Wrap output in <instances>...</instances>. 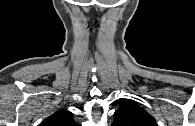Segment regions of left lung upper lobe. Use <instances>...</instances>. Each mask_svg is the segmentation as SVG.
Listing matches in <instances>:
<instances>
[{
	"instance_id": "1",
	"label": "left lung upper lobe",
	"mask_w": 195,
	"mask_h": 126,
	"mask_svg": "<svg viewBox=\"0 0 195 126\" xmlns=\"http://www.w3.org/2000/svg\"><path fill=\"white\" fill-rule=\"evenodd\" d=\"M112 126H157V123L142 107L131 101H125L114 113Z\"/></svg>"
}]
</instances>
